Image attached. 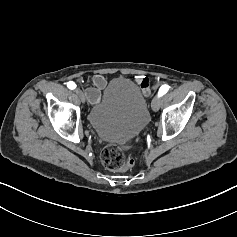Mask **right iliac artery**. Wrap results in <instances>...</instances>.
I'll list each match as a JSON object with an SVG mask.
<instances>
[{
	"mask_svg": "<svg viewBox=\"0 0 237 237\" xmlns=\"http://www.w3.org/2000/svg\"><path fill=\"white\" fill-rule=\"evenodd\" d=\"M67 87L71 90L76 88V84L73 81L67 83Z\"/></svg>",
	"mask_w": 237,
	"mask_h": 237,
	"instance_id": "82829eb1",
	"label": "right iliac artery"
}]
</instances>
